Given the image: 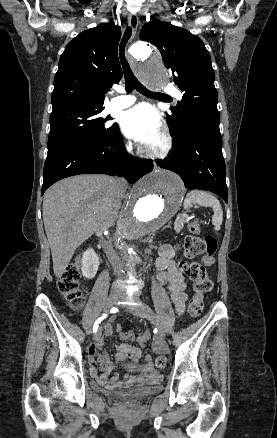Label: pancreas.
I'll return each mask as SVG.
<instances>
[{"label": "pancreas", "instance_id": "obj_1", "mask_svg": "<svg viewBox=\"0 0 277 438\" xmlns=\"http://www.w3.org/2000/svg\"><path fill=\"white\" fill-rule=\"evenodd\" d=\"M187 222H188V215L187 214H178L177 218L174 220V224L172 225V232L173 233H182L183 226Z\"/></svg>", "mask_w": 277, "mask_h": 438}]
</instances>
